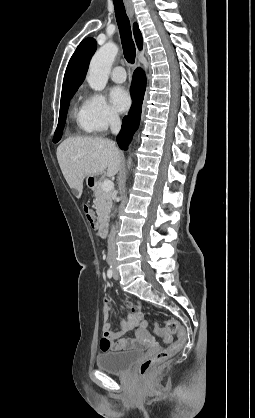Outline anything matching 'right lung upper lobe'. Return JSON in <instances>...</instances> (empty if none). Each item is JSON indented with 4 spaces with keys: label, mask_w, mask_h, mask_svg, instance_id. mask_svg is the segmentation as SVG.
<instances>
[{
    "label": "right lung upper lobe",
    "mask_w": 255,
    "mask_h": 418,
    "mask_svg": "<svg viewBox=\"0 0 255 418\" xmlns=\"http://www.w3.org/2000/svg\"><path fill=\"white\" fill-rule=\"evenodd\" d=\"M134 37L139 50L142 49V35L137 23L133 25ZM96 41L93 38L84 39L72 55L63 80L62 93L77 90L84 81L89 61L96 50Z\"/></svg>",
    "instance_id": "obj_1"
}]
</instances>
